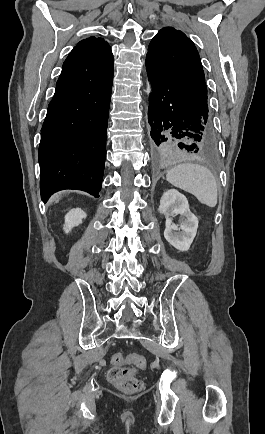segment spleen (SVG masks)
Listing matches in <instances>:
<instances>
[{
	"instance_id": "3e777b00",
	"label": "spleen",
	"mask_w": 265,
	"mask_h": 434,
	"mask_svg": "<svg viewBox=\"0 0 265 434\" xmlns=\"http://www.w3.org/2000/svg\"><path fill=\"white\" fill-rule=\"evenodd\" d=\"M167 182L196 196L201 204L215 208L218 200L216 180L205 166L200 164H178L168 170Z\"/></svg>"
}]
</instances>
